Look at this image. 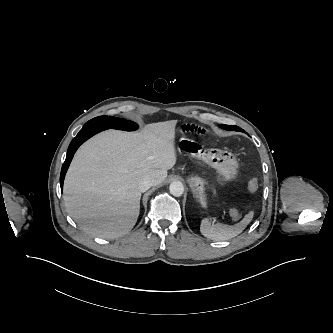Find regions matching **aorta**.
Segmentation results:
<instances>
[{
  "label": "aorta",
  "mask_w": 333,
  "mask_h": 333,
  "mask_svg": "<svg viewBox=\"0 0 333 333\" xmlns=\"http://www.w3.org/2000/svg\"><path fill=\"white\" fill-rule=\"evenodd\" d=\"M170 193L176 197L181 196L184 193V186L180 181H174L169 187Z\"/></svg>",
  "instance_id": "762f6f07"
}]
</instances>
